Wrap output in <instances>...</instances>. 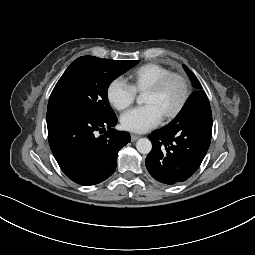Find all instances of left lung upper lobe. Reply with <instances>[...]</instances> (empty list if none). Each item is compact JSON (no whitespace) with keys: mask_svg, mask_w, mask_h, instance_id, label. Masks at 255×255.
Returning <instances> with one entry per match:
<instances>
[{"mask_svg":"<svg viewBox=\"0 0 255 255\" xmlns=\"http://www.w3.org/2000/svg\"><path fill=\"white\" fill-rule=\"evenodd\" d=\"M183 68L186 71V73L188 74V76L190 77V79L195 87V91L201 90V85H200L198 79L196 78V76L193 74V72L185 65H183Z\"/></svg>","mask_w":255,"mask_h":255,"instance_id":"1","label":"left lung upper lobe"}]
</instances>
